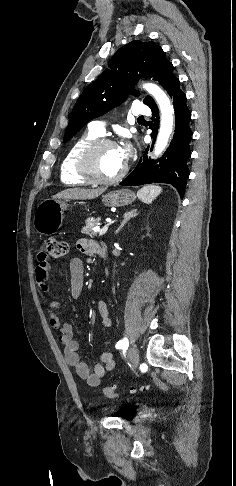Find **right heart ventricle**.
Here are the masks:
<instances>
[{
  "label": "right heart ventricle",
  "instance_id": "e07e8e85",
  "mask_svg": "<svg viewBox=\"0 0 236 486\" xmlns=\"http://www.w3.org/2000/svg\"><path fill=\"white\" fill-rule=\"evenodd\" d=\"M99 134L88 130L79 136L69 147L60 167L61 181L69 186H82L90 184L77 172V159L81 150L91 141L97 139Z\"/></svg>",
  "mask_w": 236,
  "mask_h": 486
}]
</instances>
